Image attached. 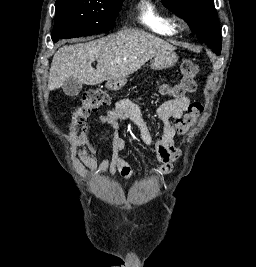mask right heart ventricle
I'll return each mask as SVG.
<instances>
[{"label":"right heart ventricle","instance_id":"right-heart-ventricle-1","mask_svg":"<svg viewBox=\"0 0 256 267\" xmlns=\"http://www.w3.org/2000/svg\"><path fill=\"white\" fill-rule=\"evenodd\" d=\"M149 29L160 36H175L178 32L177 24L171 16L145 22Z\"/></svg>","mask_w":256,"mask_h":267}]
</instances>
